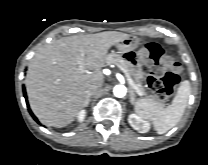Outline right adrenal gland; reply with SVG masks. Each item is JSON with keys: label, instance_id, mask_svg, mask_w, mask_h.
Returning <instances> with one entry per match:
<instances>
[{"label": "right adrenal gland", "instance_id": "right-adrenal-gland-1", "mask_svg": "<svg viewBox=\"0 0 208 165\" xmlns=\"http://www.w3.org/2000/svg\"><path fill=\"white\" fill-rule=\"evenodd\" d=\"M91 96H92V94L88 95L86 102H85V107H87L89 105V103L91 102Z\"/></svg>", "mask_w": 208, "mask_h": 165}]
</instances>
